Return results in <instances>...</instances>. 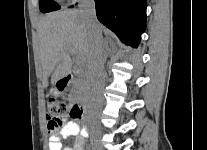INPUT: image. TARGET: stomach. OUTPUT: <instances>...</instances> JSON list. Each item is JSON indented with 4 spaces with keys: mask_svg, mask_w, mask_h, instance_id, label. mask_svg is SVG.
<instances>
[{
    "mask_svg": "<svg viewBox=\"0 0 207 150\" xmlns=\"http://www.w3.org/2000/svg\"><path fill=\"white\" fill-rule=\"evenodd\" d=\"M51 93L53 94V95H58V94H60V91L58 90V88L55 86L54 88H52L51 89Z\"/></svg>",
    "mask_w": 207,
    "mask_h": 150,
    "instance_id": "0dacf381",
    "label": "stomach"
}]
</instances>
